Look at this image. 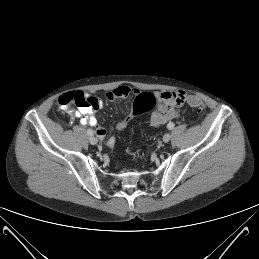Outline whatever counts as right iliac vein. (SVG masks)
I'll use <instances>...</instances> for the list:
<instances>
[{
  "mask_svg": "<svg viewBox=\"0 0 259 259\" xmlns=\"http://www.w3.org/2000/svg\"><path fill=\"white\" fill-rule=\"evenodd\" d=\"M89 142L92 144V145H96L98 143V139L94 136H90L89 138Z\"/></svg>",
  "mask_w": 259,
  "mask_h": 259,
  "instance_id": "1",
  "label": "right iliac vein"
}]
</instances>
